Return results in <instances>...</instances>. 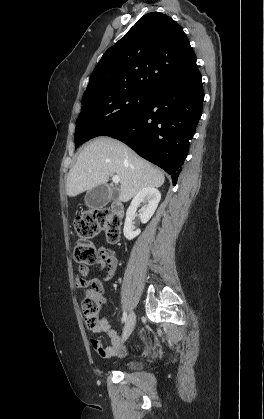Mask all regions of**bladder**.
Masks as SVG:
<instances>
[{"label":"bladder","mask_w":264,"mask_h":419,"mask_svg":"<svg viewBox=\"0 0 264 419\" xmlns=\"http://www.w3.org/2000/svg\"><path fill=\"white\" fill-rule=\"evenodd\" d=\"M140 367H141V363L138 361H129L123 366L125 370H137Z\"/></svg>","instance_id":"bladder-1"}]
</instances>
